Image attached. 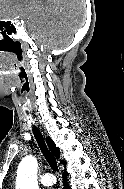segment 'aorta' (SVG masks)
I'll return each instance as SVG.
<instances>
[{"instance_id": "obj_1", "label": "aorta", "mask_w": 124, "mask_h": 189, "mask_svg": "<svg viewBox=\"0 0 124 189\" xmlns=\"http://www.w3.org/2000/svg\"><path fill=\"white\" fill-rule=\"evenodd\" d=\"M37 170V159L33 156L24 157L17 169L16 189H39Z\"/></svg>"}]
</instances>
